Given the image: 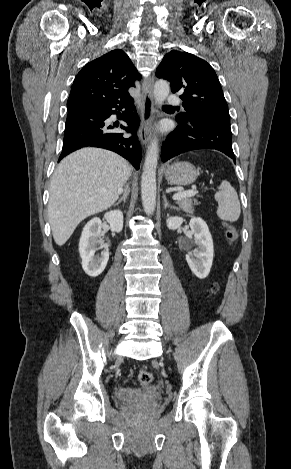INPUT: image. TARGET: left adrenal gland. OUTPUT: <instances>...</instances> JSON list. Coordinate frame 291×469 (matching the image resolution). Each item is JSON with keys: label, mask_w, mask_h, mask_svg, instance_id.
<instances>
[{"label": "left adrenal gland", "mask_w": 291, "mask_h": 469, "mask_svg": "<svg viewBox=\"0 0 291 469\" xmlns=\"http://www.w3.org/2000/svg\"><path fill=\"white\" fill-rule=\"evenodd\" d=\"M163 200H164V208H167V207H169V208H173V209L179 210V208H178V207H176V206H173V205H170V204L168 203V201H167V199H166V195H165V194H163Z\"/></svg>", "instance_id": "obj_1"}]
</instances>
